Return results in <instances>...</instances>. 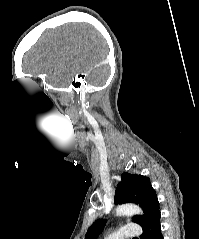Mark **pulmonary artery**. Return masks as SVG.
<instances>
[{"mask_svg": "<svg viewBox=\"0 0 199 239\" xmlns=\"http://www.w3.org/2000/svg\"><path fill=\"white\" fill-rule=\"evenodd\" d=\"M141 234V229L138 224H128L111 233L106 239H130L138 237Z\"/></svg>", "mask_w": 199, "mask_h": 239, "instance_id": "pulmonary-artery-1", "label": "pulmonary artery"}]
</instances>
